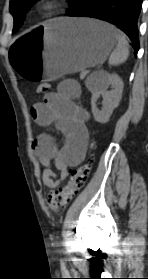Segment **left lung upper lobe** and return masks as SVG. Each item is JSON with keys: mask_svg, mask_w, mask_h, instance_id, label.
<instances>
[{"mask_svg": "<svg viewBox=\"0 0 148 279\" xmlns=\"http://www.w3.org/2000/svg\"><path fill=\"white\" fill-rule=\"evenodd\" d=\"M38 0H10V12L14 17L13 31H17L23 24L26 11ZM73 6L78 0H68Z\"/></svg>", "mask_w": 148, "mask_h": 279, "instance_id": "left-lung-upper-lobe-1", "label": "left lung upper lobe"}]
</instances>
